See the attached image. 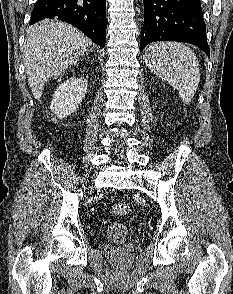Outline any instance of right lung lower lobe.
Masks as SVG:
<instances>
[{"instance_id": "right-lung-lower-lobe-1", "label": "right lung lower lobe", "mask_w": 233, "mask_h": 294, "mask_svg": "<svg viewBox=\"0 0 233 294\" xmlns=\"http://www.w3.org/2000/svg\"><path fill=\"white\" fill-rule=\"evenodd\" d=\"M45 18L68 22L94 43L105 46L106 0H38L31 13L30 24Z\"/></svg>"}]
</instances>
